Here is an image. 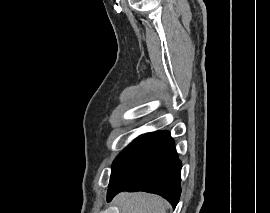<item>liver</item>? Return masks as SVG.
<instances>
[{"mask_svg":"<svg viewBox=\"0 0 270 213\" xmlns=\"http://www.w3.org/2000/svg\"><path fill=\"white\" fill-rule=\"evenodd\" d=\"M121 213H166L167 202L157 195L121 193L115 198Z\"/></svg>","mask_w":270,"mask_h":213,"instance_id":"6515ba94","label":"liver"}]
</instances>
